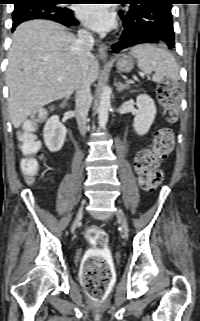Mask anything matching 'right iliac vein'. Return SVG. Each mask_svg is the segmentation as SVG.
<instances>
[{
    "label": "right iliac vein",
    "instance_id": "obj_1",
    "mask_svg": "<svg viewBox=\"0 0 200 321\" xmlns=\"http://www.w3.org/2000/svg\"><path fill=\"white\" fill-rule=\"evenodd\" d=\"M83 213V206H81L78 210L77 216H76V222L79 220V218L82 216Z\"/></svg>",
    "mask_w": 200,
    "mask_h": 321
}]
</instances>
